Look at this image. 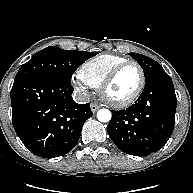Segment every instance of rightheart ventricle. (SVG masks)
Instances as JSON below:
<instances>
[{"instance_id": "right-heart-ventricle-1", "label": "right heart ventricle", "mask_w": 193, "mask_h": 193, "mask_svg": "<svg viewBox=\"0 0 193 193\" xmlns=\"http://www.w3.org/2000/svg\"><path fill=\"white\" fill-rule=\"evenodd\" d=\"M129 61L127 58L102 54L85 61L79 68L80 79L90 87L99 88L105 77L118 65Z\"/></svg>"}]
</instances>
